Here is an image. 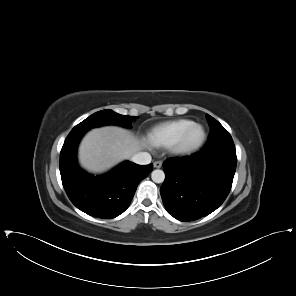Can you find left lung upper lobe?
Segmentation results:
<instances>
[{
	"mask_svg": "<svg viewBox=\"0 0 296 296\" xmlns=\"http://www.w3.org/2000/svg\"><path fill=\"white\" fill-rule=\"evenodd\" d=\"M206 118L210 127V135L208 142L201 150L202 154L210 156L220 151H235L234 142L227 130L210 115L207 114Z\"/></svg>",
	"mask_w": 296,
	"mask_h": 296,
	"instance_id": "1",
	"label": "left lung upper lobe"
}]
</instances>
